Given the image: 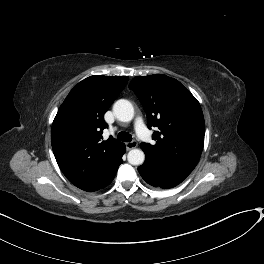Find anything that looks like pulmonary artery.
Here are the masks:
<instances>
[{
    "instance_id": "obj_1",
    "label": "pulmonary artery",
    "mask_w": 264,
    "mask_h": 264,
    "mask_svg": "<svg viewBox=\"0 0 264 264\" xmlns=\"http://www.w3.org/2000/svg\"><path fill=\"white\" fill-rule=\"evenodd\" d=\"M136 128L138 133L141 132V130L144 128V121L141 117H137L136 122H135Z\"/></svg>"
}]
</instances>
